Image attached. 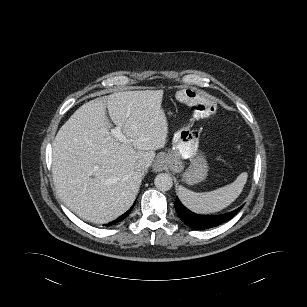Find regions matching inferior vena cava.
Returning a JSON list of instances; mask_svg holds the SVG:
<instances>
[{
  "mask_svg": "<svg viewBox=\"0 0 307 307\" xmlns=\"http://www.w3.org/2000/svg\"><path fill=\"white\" fill-rule=\"evenodd\" d=\"M147 164L145 162H139L136 165V169L139 173L143 174L145 172V170L147 169Z\"/></svg>",
  "mask_w": 307,
  "mask_h": 307,
  "instance_id": "obj_1",
  "label": "inferior vena cava"
}]
</instances>
